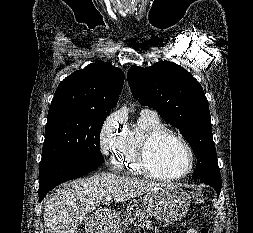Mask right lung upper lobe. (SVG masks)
Wrapping results in <instances>:
<instances>
[{
	"instance_id": "obj_1",
	"label": "right lung upper lobe",
	"mask_w": 253,
	"mask_h": 233,
	"mask_svg": "<svg viewBox=\"0 0 253 233\" xmlns=\"http://www.w3.org/2000/svg\"><path fill=\"white\" fill-rule=\"evenodd\" d=\"M123 72L101 60L66 77L55 91L50 107H78L109 112L118 102Z\"/></svg>"
}]
</instances>
